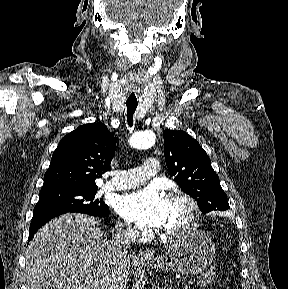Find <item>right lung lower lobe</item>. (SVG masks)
<instances>
[{
  "label": "right lung lower lobe",
  "mask_w": 288,
  "mask_h": 289,
  "mask_svg": "<svg viewBox=\"0 0 288 289\" xmlns=\"http://www.w3.org/2000/svg\"><path fill=\"white\" fill-rule=\"evenodd\" d=\"M68 213L65 211H46V212H38L33 214V220L30 224V230H29V240L33 237V235L37 232L39 228H41L45 223H47L52 218ZM109 215V209L106 211L98 214V215H92V216H99V217H107ZM29 242V241H28Z\"/></svg>",
  "instance_id": "right-lung-lower-lobe-1"
}]
</instances>
